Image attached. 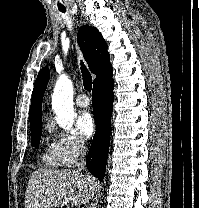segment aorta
Wrapping results in <instances>:
<instances>
[{"label":"aorta","instance_id":"762f6f07","mask_svg":"<svg viewBox=\"0 0 199 208\" xmlns=\"http://www.w3.org/2000/svg\"><path fill=\"white\" fill-rule=\"evenodd\" d=\"M52 109L60 127L70 130L76 113L73 108V84L66 76H61L55 85L52 96Z\"/></svg>","mask_w":199,"mask_h":208}]
</instances>
